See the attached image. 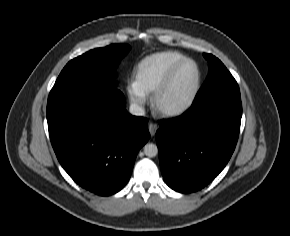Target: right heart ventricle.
Returning <instances> with one entry per match:
<instances>
[{
  "instance_id": "1",
  "label": "right heart ventricle",
  "mask_w": 290,
  "mask_h": 236,
  "mask_svg": "<svg viewBox=\"0 0 290 236\" xmlns=\"http://www.w3.org/2000/svg\"><path fill=\"white\" fill-rule=\"evenodd\" d=\"M185 56L175 51H165L145 58L137 67L136 84L147 94L165 80L172 67Z\"/></svg>"
}]
</instances>
